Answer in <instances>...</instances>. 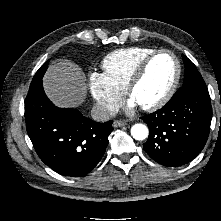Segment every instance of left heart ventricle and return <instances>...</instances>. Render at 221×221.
I'll return each mask as SVG.
<instances>
[{"label": "left heart ventricle", "instance_id": "1", "mask_svg": "<svg viewBox=\"0 0 221 221\" xmlns=\"http://www.w3.org/2000/svg\"><path fill=\"white\" fill-rule=\"evenodd\" d=\"M175 70V62L169 54L158 55L150 63L143 80L136 87L132 99L139 105L159 99L172 83Z\"/></svg>", "mask_w": 221, "mask_h": 221}]
</instances>
